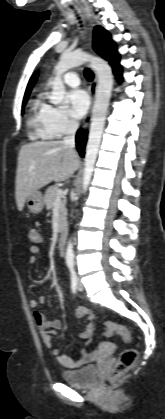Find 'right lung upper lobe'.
<instances>
[{
  "instance_id": "right-lung-upper-lobe-1",
  "label": "right lung upper lobe",
  "mask_w": 165,
  "mask_h": 419,
  "mask_svg": "<svg viewBox=\"0 0 165 419\" xmlns=\"http://www.w3.org/2000/svg\"><path fill=\"white\" fill-rule=\"evenodd\" d=\"M37 76H38V72H35L32 75V77L30 78L29 83H28L27 88H26V92H25V96L24 97L29 96V93L31 92V89H32V87L34 86V84H35V82L37 80Z\"/></svg>"
}]
</instances>
